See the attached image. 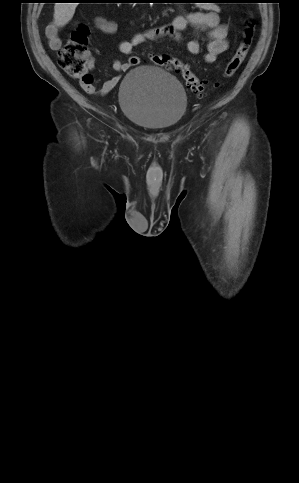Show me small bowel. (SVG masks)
Segmentation results:
<instances>
[{
	"instance_id": "c3829d8e",
	"label": "small bowel",
	"mask_w": 299,
	"mask_h": 483,
	"mask_svg": "<svg viewBox=\"0 0 299 483\" xmlns=\"http://www.w3.org/2000/svg\"><path fill=\"white\" fill-rule=\"evenodd\" d=\"M219 12L220 7L216 5L209 6L205 10L182 12L170 23L149 28L143 32L135 34L131 40L121 42L119 45V51L124 55H128L129 58L125 62L119 60L113 62V69L117 72V75L111 77L103 84L101 92L107 93L111 91L120 82L122 74L139 63V58L133 56L132 53L135 47L147 41H158L170 38L183 43L191 54H199L200 43L198 39H187L184 34L190 25L205 33L207 43L204 53V61L208 64L215 63L218 57L224 53L229 46L227 40L229 29L226 24L220 23ZM95 27L105 34H113L117 31L118 25L114 21L98 17L95 19ZM46 36L52 49L57 50L60 48L61 39L58 34L57 25L52 23L49 24L46 29ZM87 58L88 66L92 69L94 66V59L90 54H88ZM86 90L92 91L93 88Z\"/></svg>"
}]
</instances>
